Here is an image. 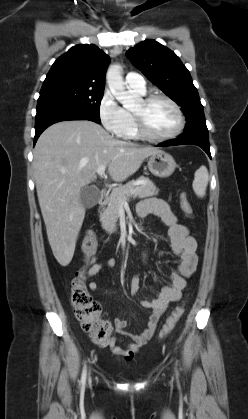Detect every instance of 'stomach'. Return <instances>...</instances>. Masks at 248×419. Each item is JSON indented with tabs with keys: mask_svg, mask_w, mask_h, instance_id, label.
<instances>
[{
	"mask_svg": "<svg viewBox=\"0 0 248 419\" xmlns=\"http://www.w3.org/2000/svg\"><path fill=\"white\" fill-rule=\"evenodd\" d=\"M176 166L173 157L163 151L152 154L148 159V168L150 172L160 178H166L172 175Z\"/></svg>",
	"mask_w": 248,
	"mask_h": 419,
	"instance_id": "obj_1",
	"label": "stomach"
}]
</instances>
